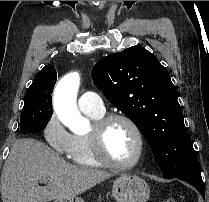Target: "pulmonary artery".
Instances as JSON below:
<instances>
[{"label":"pulmonary artery","instance_id":"pulmonary-artery-1","mask_svg":"<svg viewBox=\"0 0 209 202\" xmlns=\"http://www.w3.org/2000/svg\"><path fill=\"white\" fill-rule=\"evenodd\" d=\"M78 107L83 112L103 114L105 106L100 95L92 90L85 91L78 98Z\"/></svg>","mask_w":209,"mask_h":202}]
</instances>
